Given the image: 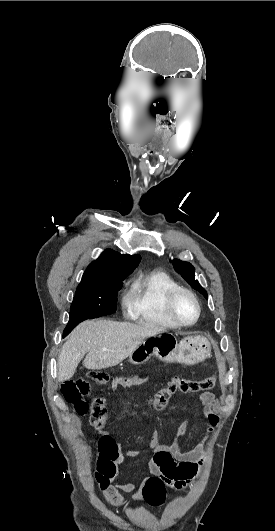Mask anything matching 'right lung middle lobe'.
<instances>
[{"label": "right lung middle lobe", "mask_w": 275, "mask_h": 531, "mask_svg": "<svg viewBox=\"0 0 275 531\" xmlns=\"http://www.w3.org/2000/svg\"><path fill=\"white\" fill-rule=\"evenodd\" d=\"M123 279L81 281L71 305L69 322L63 336L65 337L86 319L113 314L116 311L117 294L122 287Z\"/></svg>", "instance_id": "1"}]
</instances>
